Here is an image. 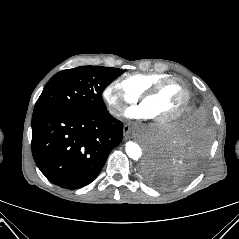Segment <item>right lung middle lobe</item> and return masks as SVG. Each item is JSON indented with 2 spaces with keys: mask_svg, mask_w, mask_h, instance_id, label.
I'll return each instance as SVG.
<instances>
[{
  "mask_svg": "<svg viewBox=\"0 0 239 239\" xmlns=\"http://www.w3.org/2000/svg\"><path fill=\"white\" fill-rule=\"evenodd\" d=\"M123 73L124 70L103 66H81L60 71L44 87L34 112L49 109L105 111L102 92Z\"/></svg>",
  "mask_w": 239,
  "mask_h": 239,
  "instance_id": "1",
  "label": "right lung middle lobe"
}]
</instances>
